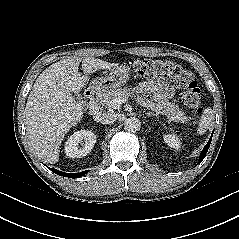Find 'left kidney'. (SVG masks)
Segmentation results:
<instances>
[{
	"mask_svg": "<svg viewBox=\"0 0 239 239\" xmlns=\"http://www.w3.org/2000/svg\"><path fill=\"white\" fill-rule=\"evenodd\" d=\"M164 141L165 143H167L168 146L176 150H178L181 147L180 139L174 134L164 135Z\"/></svg>",
	"mask_w": 239,
	"mask_h": 239,
	"instance_id": "1",
	"label": "left kidney"
}]
</instances>
